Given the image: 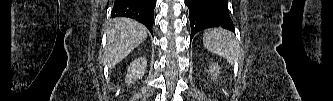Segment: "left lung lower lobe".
<instances>
[{"instance_id":"obj_1","label":"left lung lower lobe","mask_w":333,"mask_h":101,"mask_svg":"<svg viewBox=\"0 0 333 101\" xmlns=\"http://www.w3.org/2000/svg\"><path fill=\"white\" fill-rule=\"evenodd\" d=\"M185 4L189 8L190 41L198 31L206 28L222 27L235 32L227 0H185Z\"/></svg>"}]
</instances>
